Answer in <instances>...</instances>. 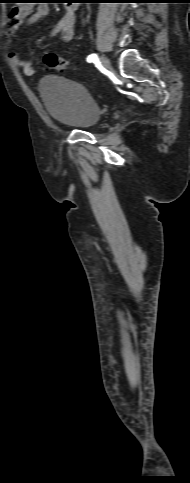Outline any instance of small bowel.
Wrapping results in <instances>:
<instances>
[{
    "mask_svg": "<svg viewBox=\"0 0 190 483\" xmlns=\"http://www.w3.org/2000/svg\"><path fill=\"white\" fill-rule=\"evenodd\" d=\"M30 3V2H26ZM76 6L69 4L64 16L54 25L49 32V37L59 36L63 42H70L75 35ZM48 13V7L44 4L33 5L23 4L13 8L7 17V28L5 30V45L9 49L14 44V39L18 28L26 20L27 25H33L42 20ZM9 60L16 66L21 67L25 75H33L34 68L28 60H22L18 50L8 51Z\"/></svg>",
    "mask_w": 190,
    "mask_h": 483,
    "instance_id": "1",
    "label": "small bowel"
}]
</instances>
